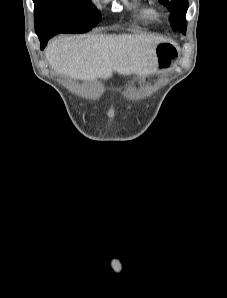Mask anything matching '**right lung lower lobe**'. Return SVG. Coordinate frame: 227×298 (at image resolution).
I'll return each mask as SVG.
<instances>
[{
	"label": "right lung lower lobe",
	"mask_w": 227,
	"mask_h": 298,
	"mask_svg": "<svg viewBox=\"0 0 227 298\" xmlns=\"http://www.w3.org/2000/svg\"><path fill=\"white\" fill-rule=\"evenodd\" d=\"M58 34L57 31H49V32H46L44 34H40L38 35L39 37V40H40V48L43 49L46 44H47V41L54 35Z\"/></svg>",
	"instance_id": "98d812e1"
}]
</instances>
